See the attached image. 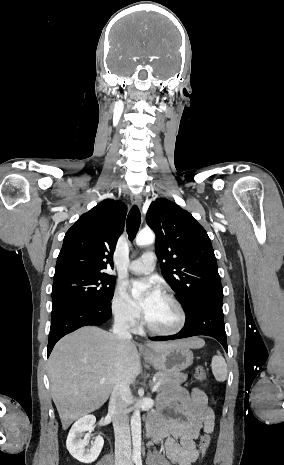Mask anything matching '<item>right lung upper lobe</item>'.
I'll list each match as a JSON object with an SVG mask.
<instances>
[{
    "instance_id": "obj_1",
    "label": "right lung upper lobe",
    "mask_w": 284,
    "mask_h": 465,
    "mask_svg": "<svg viewBox=\"0 0 284 465\" xmlns=\"http://www.w3.org/2000/svg\"><path fill=\"white\" fill-rule=\"evenodd\" d=\"M127 207L106 199L83 214L67 231L58 255L54 279L72 274H106L121 235Z\"/></svg>"
}]
</instances>
